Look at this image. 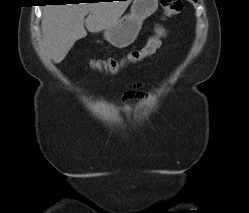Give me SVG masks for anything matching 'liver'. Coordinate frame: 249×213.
Listing matches in <instances>:
<instances>
[{
	"mask_svg": "<svg viewBox=\"0 0 249 213\" xmlns=\"http://www.w3.org/2000/svg\"><path fill=\"white\" fill-rule=\"evenodd\" d=\"M131 1L45 6L41 27L46 52L55 63H60L75 42L87 35L85 27L91 33L111 27L120 19Z\"/></svg>",
	"mask_w": 249,
	"mask_h": 213,
	"instance_id": "1",
	"label": "liver"
}]
</instances>
